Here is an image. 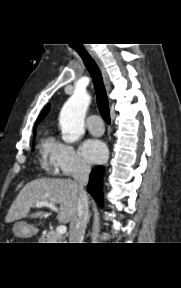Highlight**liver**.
<instances>
[{
	"label": "liver",
	"instance_id": "obj_1",
	"mask_svg": "<svg viewBox=\"0 0 181 288\" xmlns=\"http://www.w3.org/2000/svg\"><path fill=\"white\" fill-rule=\"evenodd\" d=\"M39 201L59 204V213L56 219L61 223H69L76 216L78 190L71 179L41 178L27 183L12 203L6 223L30 217L44 216L45 212L30 214V209Z\"/></svg>",
	"mask_w": 181,
	"mask_h": 288
}]
</instances>
